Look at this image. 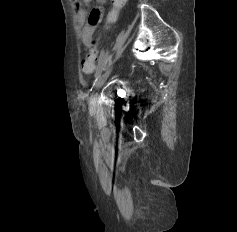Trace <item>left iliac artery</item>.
<instances>
[{
    "instance_id": "obj_1",
    "label": "left iliac artery",
    "mask_w": 237,
    "mask_h": 232,
    "mask_svg": "<svg viewBox=\"0 0 237 232\" xmlns=\"http://www.w3.org/2000/svg\"><path fill=\"white\" fill-rule=\"evenodd\" d=\"M103 70H104V50L101 51L98 59V67L95 73L96 80L99 78Z\"/></svg>"
}]
</instances>
